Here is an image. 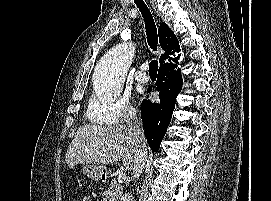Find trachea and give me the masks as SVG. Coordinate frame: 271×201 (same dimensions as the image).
<instances>
[{"label": "trachea", "mask_w": 271, "mask_h": 201, "mask_svg": "<svg viewBox=\"0 0 271 201\" xmlns=\"http://www.w3.org/2000/svg\"><path fill=\"white\" fill-rule=\"evenodd\" d=\"M145 22L147 42L151 49L156 51L158 45L157 28L153 16L143 0H135ZM158 61L152 60L149 64V74H157Z\"/></svg>", "instance_id": "3493384b"}]
</instances>
